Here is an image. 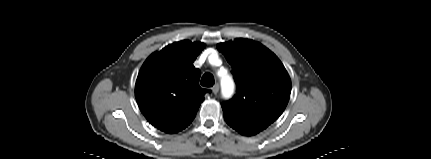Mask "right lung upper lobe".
<instances>
[{
  "label": "right lung upper lobe",
  "instance_id": "1",
  "mask_svg": "<svg viewBox=\"0 0 431 159\" xmlns=\"http://www.w3.org/2000/svg\"><path fill=\"white\" fill-rule=\"evenodd\" d=\"M205 45L175 42L150 55L135 86L138 106L146 119L169 134L186 128L196 116L206 89L199 86L201 72L193 62Z\"/></svg>",
  "mask_w": 431,
  "mask_h": 159
}]
</instances>
